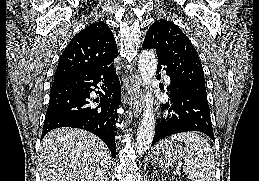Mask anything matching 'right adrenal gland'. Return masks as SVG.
<instances>
[{"instance_id":"obj_1","label":"right adrenal gland","mask_w":259,"mask_h":181,"mask_svg":"<svg viewBox=\"0 0 259 181\" xmlns=\"http://www.w3.org/2000/svg\"><path fill=\"white\" fill-rule=\"evenodd\" d=\"M108 175H109V172H108ZM102 181H109V177L108 176H106L105 178H103V180Z\"/></svg>"}]
</instances>
